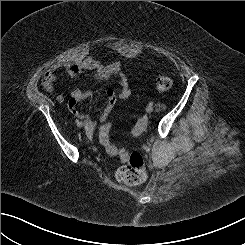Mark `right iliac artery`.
Instances as JSON below:
<instances>
[{
	"label": "right iliac artery",
	"instance_id": "82829eb1",
	"mask_svg": "<svg viewBox=\"0 0 245 245\" xmlns=\"http://www.w3.org/2000/svg\"><path fill=\"white\" fill-rule=\"evenodd\" d=\"M75 122H76L77 126H79L81 123L78 119Z\"/></svg>",
	"mask_w": 245,
	"mask_h": 245
}]
</instances>
